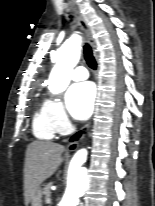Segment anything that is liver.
<instances>
[{"label":"liver","instance_id":"6515ba94","mask_svg":"<svg viewBox=\"0 0 155 206\" xmlns=\"http://www.w3.org/2000/svg\"><path fill=\"white\" fill-rule=\"evenodd\" d=\"M64 147L48 141L28 145L24 165V197L28 205L41 183L51 177L62 164Z\"/></svg>","mask_w":155,"mask_h":206}]
</instances>
